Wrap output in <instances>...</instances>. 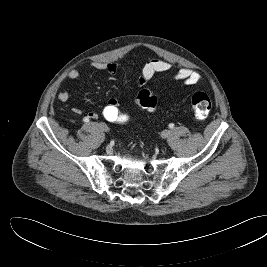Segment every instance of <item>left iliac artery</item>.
<instances>
[{"label": "left iliac artery", "instance_id": "1", "mask_svg": "<svg viewBox=\"0 0 267 267\" xmlns=\"http://www.w3.org/2000/svg\"><path fill=\"white\" fill-rule=\"evenodd\" d=\"M169 127H170V128H173V127H174V124H172V123L169 124Z\"/></svg>", "mask_w": 267, "mask_h": 267}]
</instances>
